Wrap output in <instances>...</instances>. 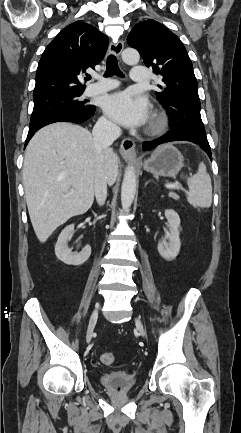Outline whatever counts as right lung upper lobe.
I'll use <instances>...</instances> for the list:
<instances>
[{"mask_svg":"<svg viewBox=\"0 0 241 433\" xmlns=\"http://www.w3.org/2000/svg\"><path fill=\"white\" fill-rule=\"evenodd\" d=\"M108 37L94 26L76 21L47 46L38 64L33 97L55 91H83L80 76L104 57Z\"/></svg>","mask_w":241,"mask_h":433,"instance_id":"1","label":"right lung upper lobe"}]
</instances>
